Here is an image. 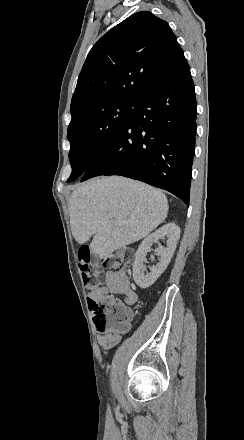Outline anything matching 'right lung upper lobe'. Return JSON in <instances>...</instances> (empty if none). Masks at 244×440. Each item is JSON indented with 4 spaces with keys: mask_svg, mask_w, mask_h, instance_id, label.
I'll list each match as a JSON object with an SVG mask.
<instances>
[{
    "mask_svg": "<svg viewBox=\"0 0 244 440\" xmlns=\"http://www.w3.org/2000/svg\"><path fill=\"white\" fill-rule=\"evenodd\" d=\"M185 61L166 21L148 11L135 13L102 36L90 50L71 110L107 98H141L160 75Z\"/></svg>",
    "mask_w": 244,
    "mask_h": 440,
    "instance_id": "cb5924a9",
    "label": "right lung upper lobe"
}]
</instances>
